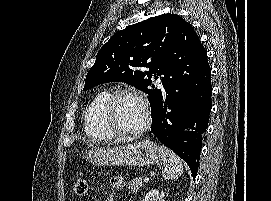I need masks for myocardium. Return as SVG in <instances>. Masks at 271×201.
Returning <instances> with one entry per match:
<instances>
[{
    "label": "myocardium",
    "mask_w": 271,
    "mask_h": 201,
    "mask_svg": "<svg viewBox=\"0 0 271 201\" xmlns=\"http://www.w3.org/2000/svg\"><path fill=\"white\" fill-rule=\"evenodd\" d=\"M133 97L141 102V104L144 107L145 110V121L142 124V126L136 130L133 131H127L118 126L116 123L115 117H114V107L116 102L121 98V97ZM103 115L106 123L108 126L111 128V130L117 135V136H122V137H136L144 132H146L151 124H152V113L151 109L149 106V103L147 99L137 92L136 90L133 89H120L115 92H113L109 98L107 99L104 108H103Z\"/></svg>",
    "instance_id": "1"
}]
</instances>
